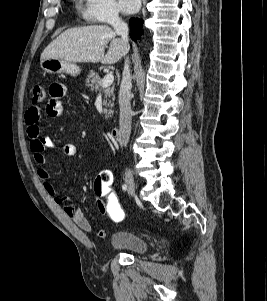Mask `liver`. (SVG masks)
Segmentation results:
<instances>
[{
  "mask_svg": "<svg viewBox=\"0 0 267 301\" xmlns=\"http://www.w3.org/2000/svg\"><path fill=\"white\" fill-rule=\"evenodd\" d=\"M110 43L105 54V47ZM129 50L117 33L106 25L71 28L60 34L42 52L41 61L61 59L73 63L114 64Z\"/></svg>",
  "mask_w": 267,
  "mask_h": 301,
  "instance_id": "liver-1",
  "label": "liver"
}]
</instances>
